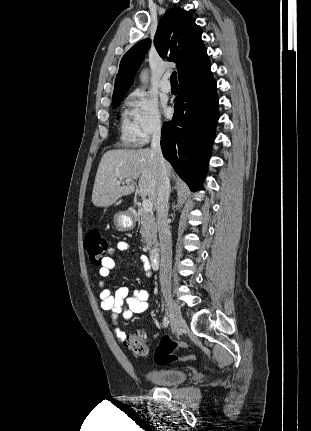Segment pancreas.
Instances as JSON below:
<instances>
[{"mask_svg":"<svg viewBox=\"0 0 311 431\" xmlns=\"http://www.w3.org/2000/svg\"><path fill=\"white\" fill-rule=\"evenodd\" d=\"M139 225H141L142 243L144 249H151L152 245H157V223L155 217L149 212L139 210Z\"/></svg>","mask_w":311,"mask_h":431,"instance_id":"obj_1","label":"pancreas"}]
</instances>
